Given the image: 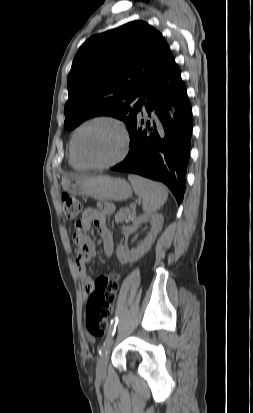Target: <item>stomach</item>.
Instances as JSON below:
<instances>
[{"instance_id": "0dacf381", "label": "stomach", "mask_w": 253, "mask_h": 413, "mask_svg": "<svg viewBox=\"0 0 253 413\" xmlns=\"http://www.w3.org/2000/svg\"><path fill=\"white\" fill-rule=\"evenodd\" d=\"M62 187L71 195L96 200L123 201L132 195V188L125 179L106 175L66 176L62 179Z\"/></svg>"}]
</instances>
